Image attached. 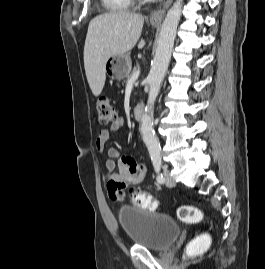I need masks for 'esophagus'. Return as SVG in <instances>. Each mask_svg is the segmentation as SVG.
Here are the masks:
<instances>
[{
	"label": "esophagus",
	"mask_w": 265,
	"mask_h": 269,
	"mask_svg": "<svg viewBox=\"0 0 265 269\" xmlns=\"http://www.w3.org/2000/svg\"><path fill=\"white\" fill-rule=\"evenodd\" d=\"M172 1L173 0H167L162 8L157 9L154 12H152L149 17V21L151 23H160L163 20L164 15L167 9L169 8V6L171 5Z\"/></svg>",
	"instance_id": "obj_1"
}]
</instances>
